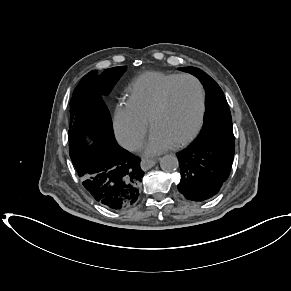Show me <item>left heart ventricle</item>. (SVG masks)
<instances>
[{"mask_svg":"<svg viewBox=\"0 0 291 291\" xmlns=\"http://www.w3.org/2000/svg\"><path fill=\"white\" fill-rule=\"evenodd\" d=\"M199 108L197 85L191 80H182L170 92L167 106L154 121L152 130L176 144L196 126Z\"/></svg>","mask_w":291,"mask_h":291,"instance_id":"b2bd125f","label":"left heart ventricle"}]
</instances>
